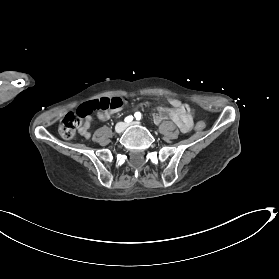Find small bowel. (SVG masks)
I'll use <instances>...</instances> for the list:
<instances>
[{"mask_svg": "<svg viewBox=\"0 0 279 279\" xmlns=\"http://www.w3.org/2000/svg\"><path fill=\"white\" fill-rule=\"evenodd\" d=\"M169 102L172 108L170 109L160 108L159 113L154 116L155 121L160 122L166 116H169L179 127L181 132L183 133L189 132L193 125L192 116L181 106L179 100L172 98L169 100ZM119 110L120 109L101 111L97 113V117L98 119L103 121L108 120L114 112H117ZM91 122H92V118L90 116L85 118L84 123L79 130L80 134L85 138L90 137L89 129L91 126Z\"/></svg>", "mask_w": 279, "mask_h": 279, "instance_id": "1", "label": "small bowel"}]
</instances>
